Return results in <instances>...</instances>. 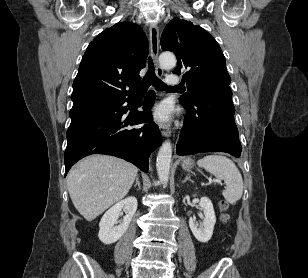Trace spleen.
<instances>
[{
	"label": "spleen",
	"mask_w": 308,
	"mask_h": 278,
	"mask_svg": "<svg viewBox=\"0 0 308 278\" xmlns=\"http://www.w3.org/2000/svg\"><path fill=\"white\" fill-rule=\"evenodd\" d=\"M198 166L226 183L222 195L230 204H235L243 194V179L235 163L222 155H208L197 162Z\"/></svg>",
	"instance_id": "3e777b00"
}]
</instances>
